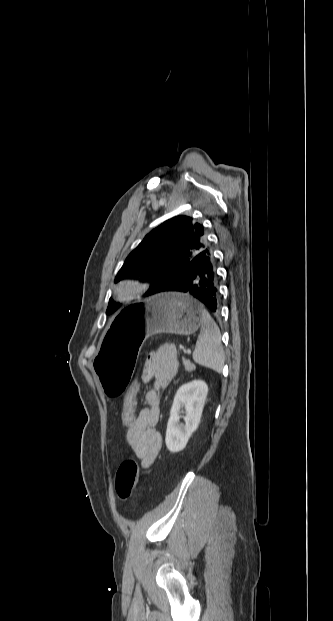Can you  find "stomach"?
<instances>
[{
  "label": "stomach",
  "mask_w": 333,
  "mask_h": 621,
  "mask_svg": "<svg viewBox=\"0 0 333 621\" xmlns=\"http://www.w3.org/2000/svg\"><path fill=\"white\" fill-rule=\"evenodd\" d=\"M205 310L186 294L169 292L125 308L106 327L96 373L108 402L126 396L144 339L156 333L190 335L202 324Z\"/></svg>",
  "instance_id": "obj_1"
}]
</instances>
